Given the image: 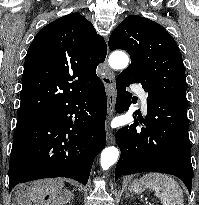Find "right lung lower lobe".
Segmentation results:
<instances>
[{
    "mask_svg": "<svg viewBox=\"0 0 199 205\" xmlns=\"http://www.w3.org/2000/svg\"><path fill=\"white\" fill-rule=\"evenodd\" d=\"M107 98L100 80L28 124L16 128L9 191L23 182L68 177L88 182L95 156L105 147Z\"/></svg>",
    "mask_w": 199,
    "mask_h": 205,
    "instance_id": "obj_1",
    "label": "right lung lower lobe"
}]
</instances>
